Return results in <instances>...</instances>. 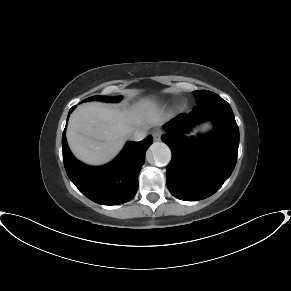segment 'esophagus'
Wrapping results in <instances>:
<instances>
[{"label":"esophagus","mask_w":291,"mask_h":291,"mask_svg":"<svg viewBox=\"0 0 291 291\" xmlns=\"http://www.w3.org/2000/svg\"><path fill=\"white\" fill-rule=\"evenodd\" d=\"M161 134H162L161 131L158 130V129H155V130L152 131V136H153V139L155 141H159L160 140Z\"/></svg>","instance_id":"obj_1"}]
</instances>
